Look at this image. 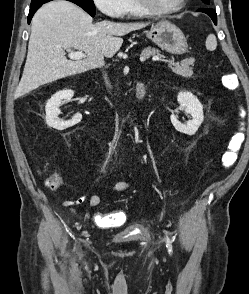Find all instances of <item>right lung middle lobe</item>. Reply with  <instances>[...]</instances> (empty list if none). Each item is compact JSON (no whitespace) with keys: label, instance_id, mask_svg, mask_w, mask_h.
I'll use <instances>...</instances> for the list:
<instances>
[{"label":"right lung middle lobe","instance_id":"1","mask_svg":"<svg viewBox=\"0 0 249 294\" xmlns=\"http://www.w3.org/2000/svg\"><path fill=\"white\" fill-rule=\"evenodd\" d=\"M51 0H32L31 6H35L38 4H44L46 2H49ZM71 1L78 6H80L82 9H84L87 13H89L92 17L95 16V5L93 0H68Z\"/></svg>","mask_w":249,"mask_h":294}]
</instances>
